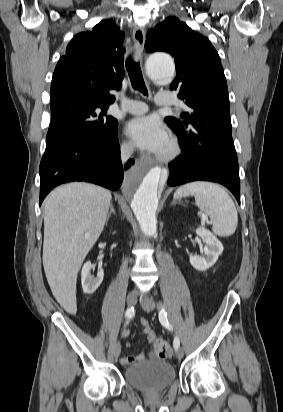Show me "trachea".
<instances>
[{"label":"trachea","instance_id":"trachea-1","mask_svg":"<svg viewBox=\"0 0 283 412\" xmlns=\"http://www.w3.org/2000/svg\"><path fill=\"white\" fill-rule=\"evenodd\" d=\"M125 65L134 90H138L144 95H147L148 92L142 76L140 63L135 62L131 57H128Z\"/></svg>","mask_w":283,"mask_h":412}]
</instances>
